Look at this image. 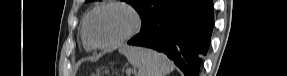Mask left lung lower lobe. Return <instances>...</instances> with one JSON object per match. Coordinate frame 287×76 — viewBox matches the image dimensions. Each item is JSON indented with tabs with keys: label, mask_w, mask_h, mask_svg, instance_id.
<instances>
[{
	"label": "left lung lower lobe",
	"mask_w": 287,
	"mask_h": 76,
	"mask_svg": "<svg viewBox=\"0 0 287 76\" xmlns=\"http://www.w3.org/2000/svg\"><path fill=\"white\" fill-rule=\"evenodd\" d=\"M212 0H173L128 44L165 53L185 76H198L213 29Z\"/></svg>",
	"instance_id": "obj_1"
}]
</instances>
